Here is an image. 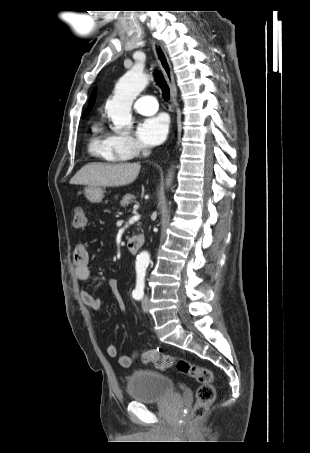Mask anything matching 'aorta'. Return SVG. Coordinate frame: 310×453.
I'll use <instances>...</instances> for the list:
<instances>
[{
    "mask_svg": "<svg viewBox=\"0 0 310 453\" xmlns=\"http://www.w3.org/2000/svg\"><path fill=\"white\" fill-rule=\"evenodd\" d=\"M149 83V76L142 68L134 66L117 82L112 99L106 103V112L114 124V130L119 131L131 123V107L133 101ZM171 179L168 180V184ZM150 261L147 252H141L136 260V268L144 270Z\"/></svg>",
    "mask_w": 310,
    "mask_h": 453,
    "instance_id": "obj_1",
    "label": "aorta"
}]
</instances>
